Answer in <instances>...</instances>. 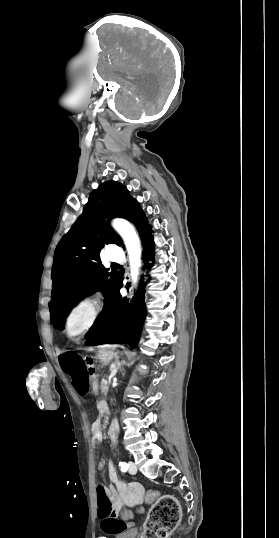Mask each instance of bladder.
Masks as SVG:
<instances>
[{"mask_svg":"<svg viewBox=\"0 0 279 538\" xmlns=\"http://www.w3.org/2000/svg\"><path fill=\"white\" fill-rule=\"evenodd\" d=\"M114 538H139L138 532H115Z\"/></svg>","mask_w":279,"mask_h":538,"instance_id":"bladder-1","label":"bladder"}]
</instances>
